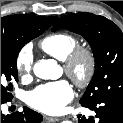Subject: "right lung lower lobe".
Instances as JSON below:
<instances>
[{"mask_svg": "<svg viewBox=\"0 0 123 123\" xmlns=\"http://www.w3.org/2000/svg\"><path fill=\"white\" fill-rule=\"evenodd\" d=\"M6 102L1 101V104ZM41 121L42 115L27 107H24L22 112H16L11 115H4L1 112V123H40Z\"/></svg>", "mask_w": 123, "mask_h": 123, "instance_id": "1", "label": "right lung lower lobe"}]
</instances>
